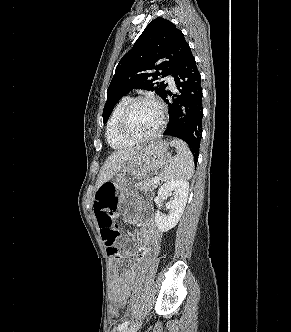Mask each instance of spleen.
<instances>
[{
  "mask_svg": "<svg viewBox=\"0 0 291 332\" xmlns=\"http://www.w3.org/2000/svg\"><path fill=\"white\" fill-rule=\"evenodd\" d=\"M170 145L177 149V154L170 158L161 173L164 182L188 180L194 173L193 155L187 144L180 139H173Z\"/></svg>",
  "mask_w": 291,
  "mask_h": 332,
  "instance_id": "obj_1",
  "label": "spleen"
}]
</instances>
